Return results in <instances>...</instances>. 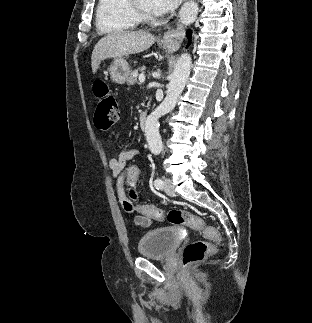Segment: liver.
Returning <instances> with one entry per match:
<instances>
[{
	"instance_id": "6515ba94",
	"label": "liver",
	"mask_w": 312,
	"mask_h": 323,
	"mask_svg": "<svg viewBox=\"0 0 312 323\" xmlns=\"http://www.w3.org/2000/svg\"><path fill=\"white\" fill-rule=\"evenodd\" d=\"M155 42L152 34L146 32H111L97 42L91 56L93 74H96L102 60L123 58L128 54H139L148 50Z\"/></svg>"
}]
</instances>
